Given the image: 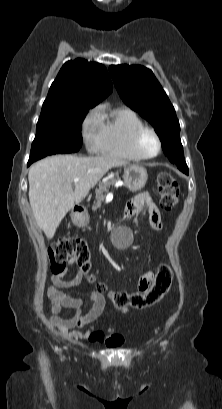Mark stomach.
<instances>
[{"instance_id":"0dacf381","label":"stomach","mask_w":222,"mask_h":409,"mask_svg":"<svg viewBox=\"0 0 222 409\" xmlns=\"http://www.w3.org/2000/svg\"><path fill=\"white\" fill-rule=\"evenodd\" d=\"M147 179V170L140 165H130L124 170V183L132 192L141 190L145 186ZM71 218L75 226L84 227L89 224V215L85 210L81 212H74L71 215Z\"/></svg>"}]
</instances>
